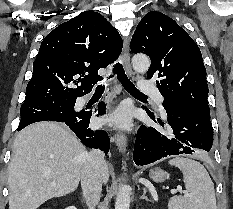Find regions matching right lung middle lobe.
Listing matches in <instances>:
<instances>
[{
  "instance_id": "obj_1",
  "label": "right lung middle lobe",
  "mask_w": 233,
  "mask_h": 209,
  "mask_svg": "<svg viewBox=\"0 0 233 209\" xmlns=\"http://www.w3.org/2000/svg\"><path fill=\"white\" fill-rule=\"evenodd\" d=\"M75 102L76 99H53L23 103L20 108L21 120L19 126H28L39 121L68 119L77 114L73 109Z\"/></svg>"
}]
</instances>
